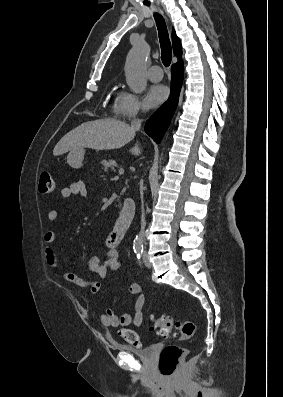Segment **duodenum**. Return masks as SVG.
<instances>
[{
	"instance_id": "1",
	"label": "duodenum",
	"mask_w": 283,
	"mask_h": 397,
	"mask_svg": "<svg viewBox=\"0 0 283 397\" xmlns=\"http://www.w3.org/2000/svg\"><path fill=\"white\" fill-rule=\"evenodd\" d=\"M134 214L135 202L131 198L125 199L122 210L114 223L115 231L123 235L128 230Z\"/></svg>"
}]
</instances>
